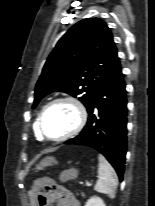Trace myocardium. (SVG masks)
<instances>
[{
    "label": "myocardium",
    "instance_id": "obj_1",
    "mask_svg": "<svg viewBox=\"0 0 155 206\" xmlns=\"http://www.w3.org/2000/svg\"><path fill=\"white\" fill-rule=\"evenodd\" d=\"M58 104H68L71 107H73L75 113H76V123L67 133L60 137H48L44 134L42 129L43 124V118L45 114L55 105ZM88 114L85 105L83 102L71 95L61 96L58 98H55L54 100L50 101L41 111L38 117L37 121V132L41 139H45L48 141L53 142H62L65 141L81 132V130L84 128L86 122H87Z\"/></svg>",
    "mask_w": 155,
    "mask_h": 206
}]
</instances>
